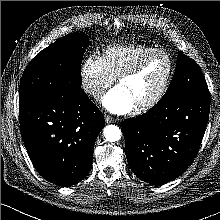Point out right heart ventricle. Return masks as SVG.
Instances as JSON below:
<instances>
[{
    "instance_id": "obj_1",
    "label": "right heart ventricle",
    "mask_w": 220,
    "mask_h": 220,
    "mask_svg": "<svg viewBox=\"0 0 220 220\" xmlns=\"http://www.w3.org/2000/svg\"><path fill=\"white\" fill-rule=\"evenodd\" d=\"M156 49L145 44H115L105 47L101 60L107 72L115 79L122 71L128 68L142 54Z\"/></svg>"
}]
</instances>
